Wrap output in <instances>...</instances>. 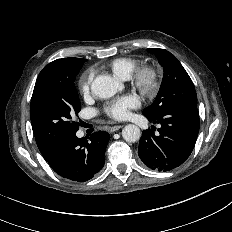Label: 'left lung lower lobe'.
Listing matches in <instances>:
<instances>
[{
	"instance_id": "1",
	"label": "left lung lower lobe",
	"mask_w": 232,
	"mask_h": 232,
	"mask_svg": "<svg viewBox=\"0 0 232 232\" xmlns=\"http://www.w3.org/2000/svg\"><path fill=\"white\" fill-rule=\"evenodd\" d=\"M161 124L159 134L143 130L138 155L153 170L170 171L190 156L199 132V115L195 107L178 105L157 117H148Z\"/></svg>"
}]
</instances>
